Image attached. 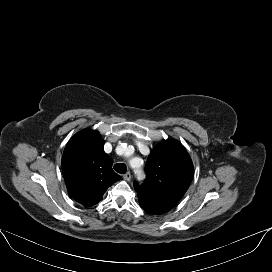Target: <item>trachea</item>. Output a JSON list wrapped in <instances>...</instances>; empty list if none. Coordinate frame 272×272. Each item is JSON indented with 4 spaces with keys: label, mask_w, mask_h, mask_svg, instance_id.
Segmentation results:
<instances>
[{
    "label": "trachea",
    "mask_w": 272,
    "mask_h": 272,
    "mask_svg": "<svg viewBox=\"0 0 272 272\" xmlns=\"http://www.w3.org/2000/svg\"><path fill=\"white\" fill-rule=\"evenodd\" d=\"M114 170L120 174H125L127 167L124 163H117L114 165Z\"/></svg>",
    "instance_id": "1"
}]
</instances>
